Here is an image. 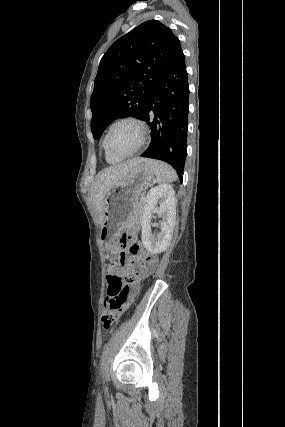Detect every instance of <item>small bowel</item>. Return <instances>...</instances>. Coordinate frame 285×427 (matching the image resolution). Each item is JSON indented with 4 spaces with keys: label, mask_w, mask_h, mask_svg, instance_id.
<instances>
[{
    "label": "small bowel",
    "mask_w": 285,
    "mask_h": 427,
    "mask_svg": "<svg viewBox=\"0 0 285 427\" xmlns=\"http://www.w3.org/2000/svg\"><path fill=\"white\" fill-rule=\"evenodd\" d=\"M125 259H126V255H125V253H123L122 260H125ZM152 261H153V268H154L155 265H156V263H157V259L153 258ZM111 272L122 273V269L119 267V261H117V260L112 261L111 266L108 269V274L111 273ZM108 291H109V294H110V289ZM129 306H130V302L129 301H125L124 304L119 309L118 315H121L123 312H125L128 309Z\"/></svg>",
    "instance_id": "c3829d8e"
}]
</instances>
